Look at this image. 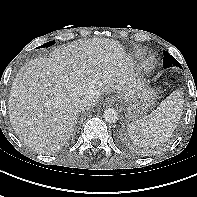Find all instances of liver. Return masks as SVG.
I'll list each match as a JSON object with an SVG mask.
<instances>
[{
  "label": "liver",
  "mask_w": 197,
  "mask_h": 197,
  "mask_svg": "<svg viewBox=\"0 0 197 197\" xmlns=\"http://www.w3.org/2000/svg\"><path fill=\"white\" fill-rule=\"evenodd\" d=\"M122 46L108 38L74 41L49 58L27 62L13 80L8 114L21 142L40 153H54L72 136L81 100L117 90L130 96L144 82Z\"/></svg>",
  "instance_id": "6515ba94"
}]
</instances>
